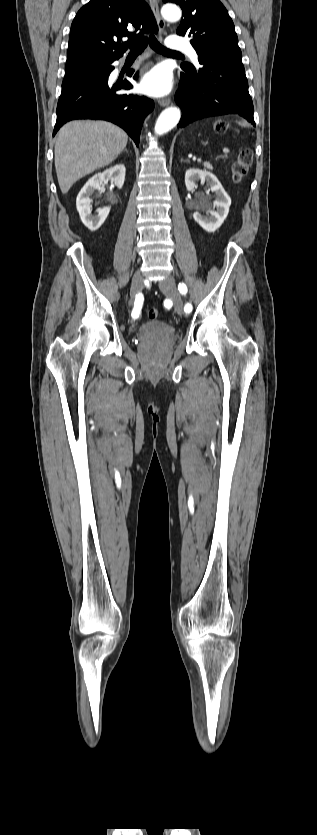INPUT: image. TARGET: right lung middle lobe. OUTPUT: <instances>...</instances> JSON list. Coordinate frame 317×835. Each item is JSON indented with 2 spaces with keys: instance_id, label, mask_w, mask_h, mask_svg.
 I'll return each mask as SVG.
<instances>
[{
  "instance_id": "1",
  "label": "right lung middle lobe",
  "mask_w": 317,
  "mask_h": 835,
  "mask_svg": "<svg viewBox=\"0 0 317 835\" xmlns=\"http://www.w3.org/2000/svg\"><path fill=\"white\" fill-rule=\"evenodd\" d=\"M107 66L108 61L103 58L84 64L79 69L65 74L62 87L99 79L104 75Z\"/></svg>"
}]
</instances>
